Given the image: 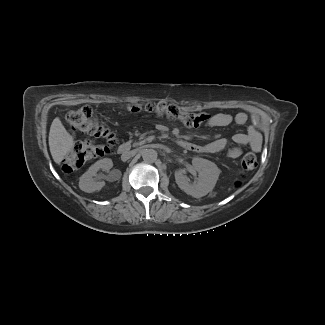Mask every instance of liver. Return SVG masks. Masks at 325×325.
I'll list each match as a JSON object with an SVG mask.
<instances>
[{"label": "liver", "instance_id": "obj_1", "mask_svg": "<svg viewBox=\"0 0 325 325\" xmlns=\"http://www.w3.org/2000/svg\"><path fill=\"white\" fill-rule=\"evenodd\" d=\"M74 145L73 137L65 129L61 120L58 117L55 118L49 132V148L55 163L60 164Z\"/></svg>", "mask_w": 325, "mask_h": 325}]
</instances>
